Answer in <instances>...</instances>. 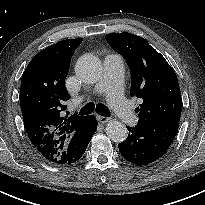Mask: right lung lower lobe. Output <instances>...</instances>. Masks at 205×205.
<instances>
[{
	"label": "right lung lower lobe",
	"instance_id": "obj_1",
	"mask_svg": "<svg viewBox=\"0 0 205 205\" xmlns=\"http://www.w3.org/2000/svg\"><path fill=\"white\" fill-rule=\"evenodd\" d=\"M97 122L94 116H88L87 122L79 128L69 139L59 165L71 164L82 157L92 136L96 132Z\"/></svg>",
	"mask_w": 205,
	"mask_h": 205
}]
</instances>
